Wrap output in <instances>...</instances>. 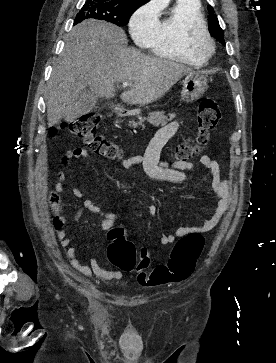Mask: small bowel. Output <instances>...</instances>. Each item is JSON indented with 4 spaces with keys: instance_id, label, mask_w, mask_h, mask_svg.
I'll return each instance as SVG.
<instances>
[{
    "instance_id": "small-bowel-1",
    "label": "small bowel",
    "mask_w": 276,
    "mask_h": 363,
    "mask_svg": "<svg viewBox=\"0 0 276 363\" xmlns=\"http://www.w3.org/2000/svg\"><path fill=\"white\" fill-rule=\"evenodd\" d=\"M180 127L179 121H173L162 127L155 137L152 139L149 147L143 156H137L130 159H118L117 162L124 169H131L134 166L141 164L146 175L156 181L167 182L172 184H184L189 181V171L194 169V166L185 162H176L172 165L160 161V153L165 144L177 133ZM188 142H193L192 138ZM89 152L84 147H77L66 151L61 163L64 168L70 165L72 160L86 159ZM201 163L205 168V172L197 176V181L200 183H209L216 197V205L212 210L210 217L203 224L191 227H180L174 232L160 237L161 245H169L177 238H180L189 233H208L213 230L220 222L225 214L230 201V184L227 180H221L219 176V165L211 157L205 155L201 158ZM65 172L61 171L58 174V182L55 189L58 192L64 191V182L66 181ZM72 194L75 197L81 198L84 196V190L78 187H72ZM83 209L89 210L103 217L102 227L108 229L112 227L120 218L117 213H106L103 209L96 205L91 199H85ZM76 212L75 218H78L82 210ZM149 216L156 214L155 206L151 205L148 209ZM61 246L66 250V257L71 266L80 274L87 278L98 277L103 280L113 281L120 280L123 274L119 270L107 269L101 266L103 257H93L90 259L89 265H83L81 260L83 256L76 247H70L72 239L66 235L65 230H60L57 233Z\"/></svg>"
}]
</instances>
